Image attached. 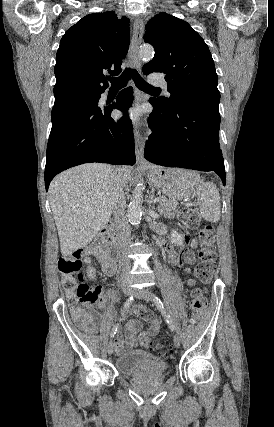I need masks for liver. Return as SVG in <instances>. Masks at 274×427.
Wrapping results in <instances>:
<instances>
[{"instance_id":"6515ba94","label":"liver","mask_w":274,"mask_h":427,"mask_svg":"<svg viewBox=\"0 0 274 427\" xmlns=\"http://www.w3.org/2000/svg\"><path fill=\"white\" fill-rule=\"evenodd\" d=\"M129 166L83 164L62 172L49 186L62 255L85 247L112 214V196L120 182L131 180Z\"/></svg>"}]
</instances>
